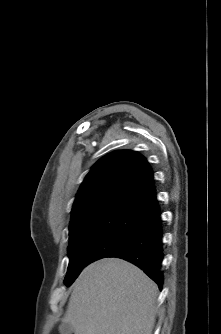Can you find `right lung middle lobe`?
<instances>
[{"label": "right lung middle lobe", "mask_w": 221, "mask_h": 334, "mask_svg": "<svg viewBox=\"0 0 221 334\" xmlns=\"http://www.w3.org/2000/svg\"><path fill=\"white\" fill-rule=\"evenodd\" d=\"M142 216L128 213H107L91 216L69 231L68 257L64 279L69 286L88 264L106 257L140 224Z\"/></svg>", "instance_id": "right-lung-middle-lobe-1"}]
</instances>
